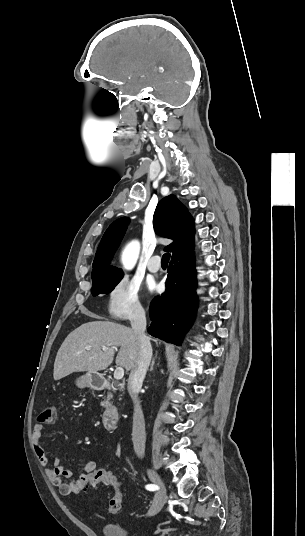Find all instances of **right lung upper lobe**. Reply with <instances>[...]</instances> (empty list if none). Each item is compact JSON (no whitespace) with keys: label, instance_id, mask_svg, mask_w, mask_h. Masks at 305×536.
Listing matches in <instances>:
<instances>
[{"label":"right lung upper lobe","instance_id":"1","mask_svg":"<svg viewBox=\"0 0 305 536\" xmlns=\"http://www.w3.org/2000/svg\"><path fill=\"white\" fill-rule=\"evenodd\" d=\"M128 223L129 218H119L104 233L92 265V281L123 275L120 269L108 265ZM153 226L158 235L175 240L165 248L166 251L173 253L172 259L193 250L194 220L175 195H169L158 203L153 217Z\"/></svg>","mask_w":305,"mask_h":536}]
</instances>
